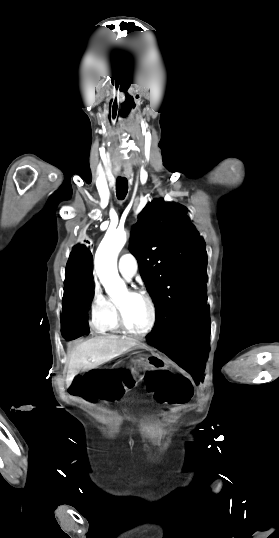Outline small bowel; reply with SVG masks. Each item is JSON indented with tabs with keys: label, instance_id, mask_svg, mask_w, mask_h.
<instances>
[{
	"label": "small bowel",
	"instance_id": "1",
	"mask_svg": "<svg viewBox=\"0 0 279 538\" xmlns=\"http://www.w3.org/2000/svg\"><path fill=\"white\" fill-rule=\"evenodd\" d=\"M144 388L156 401L168 406L186 404L193 396L186 377L169 371H155L147 376Z\"/></svg>",
	"mask_w": 279,
	"mask_h": 538
}]
</instances>
